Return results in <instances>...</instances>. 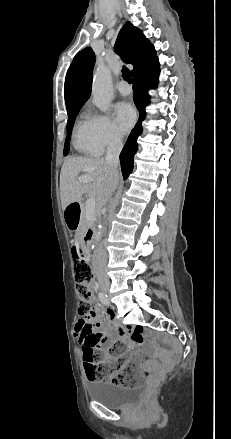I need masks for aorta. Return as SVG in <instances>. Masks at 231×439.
<instances>
[{
  "instance_id": "obj_1",
  "label": "aorta",
  "mask_w": 231,
  "mask_h": 439,
  "mask_svg": "<svg viewBox=\"0 0 231 439\" xmlns=\"http://www.w3.org/2000/svg\"><path fill=\"white\" fill-rule=\"evenodd\" d=\"M113 96L111 71L104 64H99L93 78L92 97L94 105L101 111L106 112ZM104 226L99 224L95 233V243L100 240Z\"/></svg>"
}]
</instances>
